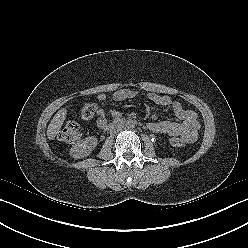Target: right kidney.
<instances>
[{"instance_id": "ca27d5eb", "label": "right kidney", "mask_w": 248, "mask_h": 248, "mask_svg": "<svg viewBox=\"0 0 248 248\" xmlns=\"http://www.w3.org/2000/svg\"><path fill=\"white\" fill-rule=\"evenodd\" d=\"M96 145L97 138L89 136L75 143L70 150V155L75 159L87 157L94 150Z\"/></svg>"}]
</instances>
